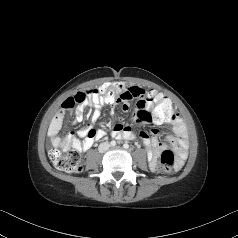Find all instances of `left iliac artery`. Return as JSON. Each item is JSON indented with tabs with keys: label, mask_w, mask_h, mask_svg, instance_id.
<instances>
[{
	"label": "left iliac artery",
	"mask_w": 238,
	"mask_h": 238,
	"mask_svg": "<svg viewBox=\"0 0 238 238\" xmlns=\"http://www.w3.org/2000/svg\"><path fill=\"white\" fill-rule=\"evenodd\" d=\"M123 147H124L125 149H128V148H129V145H128L127 143H125V144L123 145Z\"/></svg>",
	"instance_id": "1"
}]
</instances>
